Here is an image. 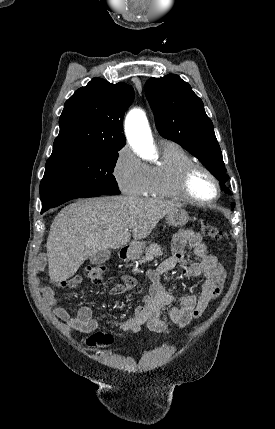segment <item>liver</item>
<instances>
[{"instance_id": "liver-1", "label": "liver", "mask_w": 275, "mask_h": 429, "mask_svg": "<svg viewBox=\"0 0 275 429\" xmlns=\"http://www.w3.org/2000/svg\"><path fill=\"white\" fill-rule=\"evenodd\" d=\"M181 204L168 200L105 196L78 200L54 218L47 238L51 282L72 277L90 257L119 249L131 238H146L158 222Z\"/></svg>"}]
</instances>
